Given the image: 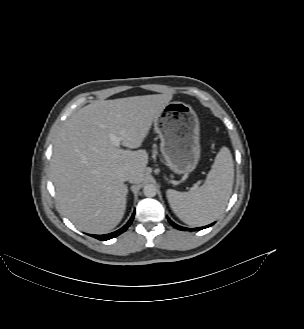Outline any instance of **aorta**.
<instances>
[{
    "instance_id": "762f6f07",
    "label": "aorta",
    "mask_w": 304,
    "mask_h": 329,
    "mask_svg": "<svg viewBox=\"0 0 304 329\" xmlns=\"http://www.w3.org/2000/svg\"><path fill=\"white\" fill-rule=\"evenodd\" d=\"M143 193L146 197H154L157 193V188L154 184H146L143 188Z\"/></svg>"
}]
</instances>
